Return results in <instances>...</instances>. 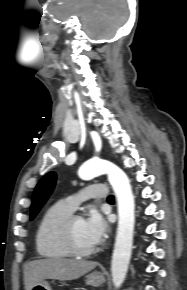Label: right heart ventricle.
<instances>
[{"instance_id":"right-heart-ventricle-1","label":"right heart ventricle","mask_w":187,"mask_h":290,"mask_svg":"<svg viewBox=\"0 0 187 290\" xmlns=\"http://www.w3.org/2000/svg\"><path fill=\"white\" fill-rule=\"evenodd\" d=\"M73 211L64 201H58L43 214L35 235L36 251L42 258L57 260L71 256L62 244L59 226Z\"/></svg>"}]
</instances>
